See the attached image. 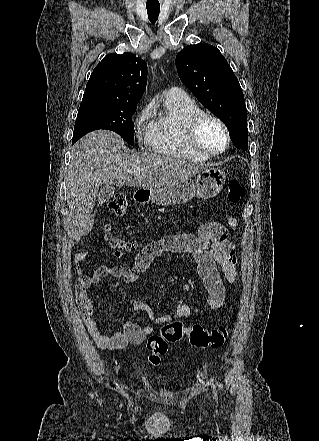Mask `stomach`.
I'll return each mask as SVG.
<instances>
[{
    "label": "stomach",
    "instance_id": "1",
    "mask_svg": "<svg viewBox=\"0 0 319 441\" xmlns=\"http://www.w3.org/2000/svg\"><path fill=\"white\" fill-rule=\"evenodd\" d=\"M226 174L223 170L210 167L201 171L196 181L186 179L174 186L149 190L150 199L157 205L184 204L193 197L203 199L215 197L223 188Z\"/></svg>",
    "mask_w": 319,
    "mask_h": 441
}]
</instances>
